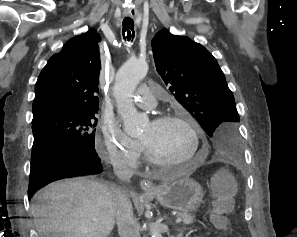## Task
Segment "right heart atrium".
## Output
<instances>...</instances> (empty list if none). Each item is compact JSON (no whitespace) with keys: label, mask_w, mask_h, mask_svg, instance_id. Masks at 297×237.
<instances>
[{"label":"right heart atrium","mask_w":297,"mask_h":237,"mask_svg":"<svg viewBox=\"0 0 297 237\" xmlns=\"http://www.w3.org/2000/svg\"><path fill=\"white\" fill-rule=\"evenodd\" d=\"M102 140L105 156L114 164L128 168L138 166L141 156L139 143L128 137L118 125L109 119L102 123Z\"/></svg>","instance_id":"1"}]
</instances>
